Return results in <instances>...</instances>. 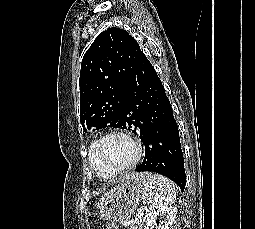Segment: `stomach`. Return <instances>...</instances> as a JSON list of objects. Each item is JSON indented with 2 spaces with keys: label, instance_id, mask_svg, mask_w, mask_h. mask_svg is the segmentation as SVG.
I'll list each match as a JSON object with an SVG mask.
<instances>
[{
  "label": "stomach",
  "instance_id": "stomach-1",
  "mask_svg": "<svg viewBox=\"0 0 255 229\" xmlns=\"http://www.w3.org/2000/svg\"><path fill=\"white\" fill-rule=\"evenodd\" d=\"M156 185L154 175L149 172L125 175L115 191L103 200L99 208L100 219L112 224L126 223L140 200L151 196Z\"/></svg>",
  "mask_w": 255,
  "mask_h": 229
}]
</instances>
